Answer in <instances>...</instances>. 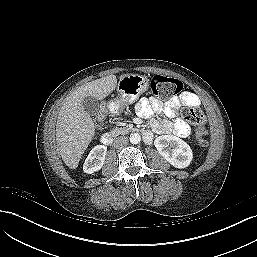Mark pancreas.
<instances>
[{
	"instance_id": "cf45deb5",
	"label": "pancreas",
	"mask_w": 257,
	"mask_h": 257,
	"mask_svg": "<svg viewBox=\"0 0 257 257\" xmlns=\"http://www.w3.org/2000/svg\"><path fill=\"white\" fill-rule=\"evenodd\" d=\"M130 130H131V128H129V127H123V128L116 127L114 129H112L111 134L113 136L125 135V134H128L130 132Z\"/></svg>"
}]
</instances>
